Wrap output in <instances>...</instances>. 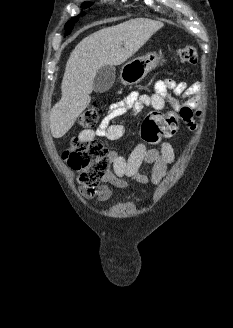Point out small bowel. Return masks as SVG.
I'll list each match as a JSON object with an SVG mask.
<instances>
[{
	"instance_id": "obj_1",
	"label": "small bowel",
	"mask_w": 233,
	"mask_h": 328,
	"mask_svg": "<svg viewBox=\"0 0 233 328\" xmlns=\"http://www.w3.org/2000/svg\"><path fill=\"white\" fill-rule=\"evenodd\" d=\"M200 88L199 82L188 85L186 82H176L172 79L159 80L155 83L153 93L140 94L132 92L124 99L111 104L108 113L98 128L96 130H83L79 134V139L90 141L95 137H104L109 141L118 140L124 135L125 129L121 124H113V120L125 115L129 111L138 114L144 107H152L156 111H161L166 106H169L178 114L188 128L194 130L196 128L195 118L199 114L197 109L199 107ZM169 90L187 100L181 104L177 99L169 95ZM174 158V149L168 142H159L157 148L139 144L128 157L111 152L109 159L113 164V171L105 176L104 184L93 191L83 188L81 189V194L87 199H95L101 202L107 200L111 195L109 185L123 188L129 180L140 184H146L151 181L153 184L158 185L166 176L168 167L172 164ZM143 164L152 165L151 177L141 171Z\"/></svg>"
}]
</instances>
